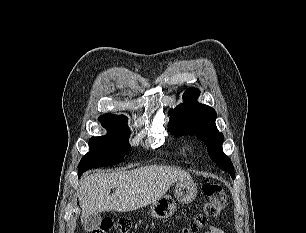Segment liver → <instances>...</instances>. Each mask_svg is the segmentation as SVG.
Returning <instances> with one entry per match:
<instances>
[{
    "label": "liver",
    "mask_w": 306,
    "mask_h": 233,
    "mask_svg": "<svg viewBox=\"0 0 306 233\" xmlns=\"http://www.w3.org/2000/svg\"><path fill=\"white\" fill-rule=\"evenodd\" d=\"M192 180L183 170L169 166H145L142 168L86 175L80 182L79 201L81 221L91 214L129 212L159 200L177 181ZM113 188L115 192L110 195Z\"/></svg>",
    "instance_id": "6515ba94"
}]
</instances>
